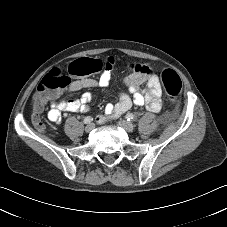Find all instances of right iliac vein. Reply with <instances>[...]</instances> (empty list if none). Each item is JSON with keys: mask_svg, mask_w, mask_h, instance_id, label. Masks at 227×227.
Instances as JSON below:
<instances>
[{"mask_svg": "<svg viewBox=\"0 0 227 227\" xmlns=\"http://www.w3.org/2000/svg\"><path fill=\"white\" fill-rule=\"evenodd\" d=\"M94 123H89L86 127H85V131L86 132H90V131H92L93 130V128H94Z\"/></svg>", "mask_w": 227, "mask_h": 227, "instance_id": "1", "label": "right iliac vein"}]
</instances>
